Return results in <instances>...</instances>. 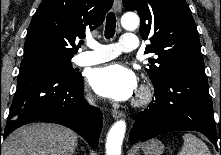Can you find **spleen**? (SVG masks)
<instances>
[{"mask_svg":"<svg viewBox=\"0 0 221 155\" xmlns=\"http://www.w3.org/2000/svg\"><path fill=\"white\" fill-rule=\"evenodd\" d=\"M183 147L178 155H211L207 145L191 133L183 135Z\"/></svg>","mask_w":221,"mask_h":155,"instance_id":"spleen-1","label":"spleen"}]
</instances>
